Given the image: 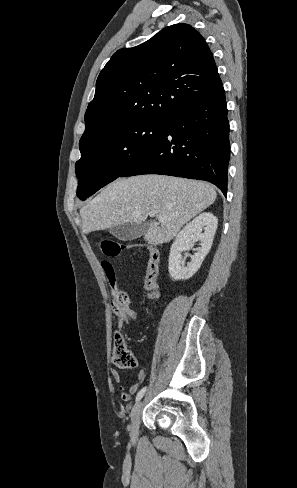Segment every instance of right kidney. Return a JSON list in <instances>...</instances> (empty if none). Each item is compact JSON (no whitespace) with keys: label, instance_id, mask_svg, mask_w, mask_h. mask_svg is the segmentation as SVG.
<instances>
[{"label":"right kidney","instance_id":"obj_1","mask_svg":"<svg viewBox=\"0 0 297 488\" xmlns=\"http://www.w3.org/2000/svg\"><path fill=\"white\" fill-rule=\"evenodd\" d=\"M218 219L210 212H204L195 217L178 233L173 242L169 255V274L174 280L192 277L200 268L205 256L209 253ZM204 230V232H202ZM200 241L201 248L191 256V261L185 266L188 254L182 257V252L190 250L194 243Z\"/></svg>","mask_w":297,"mask_h":488}]
</instances>
